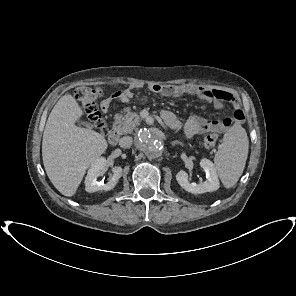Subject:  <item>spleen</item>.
<instances>
[{
  "mask_svg": "<svg viewBox=\"0 0 296 296\" xmlns=\"http://www.w3.org/2000/svg\"><path fill=\"white\" fill-rule=\"evenodd\" d=\"M249 149L245 129L235 123L224 134L221 148L214 157L215 168L226 188L233 187L242 175Z\"/></svg>",
  "mask_w": 296,
  "mask_h": 296,
  "instance_id": "3e777b00",
  "label": "spleen"
}]
</instances>
